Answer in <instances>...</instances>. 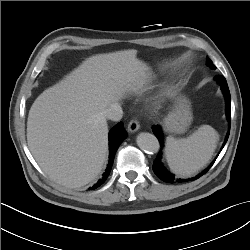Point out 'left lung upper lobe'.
Wrapping results in <instances>:
<instances>
[{"label":"left lung upper lobe","mask_w":250,"mask_h":250,"mask_svg":"<svg viewBox=\"0 0 250 250\" xmlns=\"http://www.w3.org/2000/svg\"><path fill=\"white\" fill-rule=\"evenodd\" d=\"M207 65L208 66H210L211 68H216L214 65H213V63H212V61L209 59V58H207Z\"/></svg>","instance_id":"1"}]
</instances>
